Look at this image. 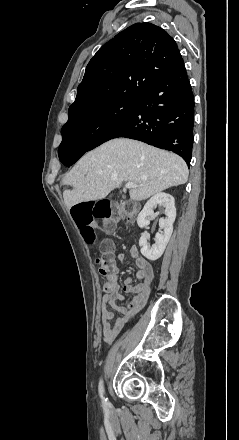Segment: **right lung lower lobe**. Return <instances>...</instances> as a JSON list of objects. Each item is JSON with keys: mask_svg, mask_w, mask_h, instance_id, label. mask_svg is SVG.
Segmentation results:
<instances>
[{"mask_svg": "<svg viewBox=\"0 0 239 440\" xmlns=\"http://www.w3.org/2000/svg\"><path fill=\"white\" fill-rule=\"evenodd\" d=\"M193 126L194 96L181 59L169 74L135 101L125 118L103 131L86 149H63L59 152V159L70 166L86 151L110 139L126 137L173 151L190 166Z\"/></svg>", "mask_w": 239, "mask_h": 440, "instance_id": "1", "label": "right lung lower lobe"}]
</instances>
